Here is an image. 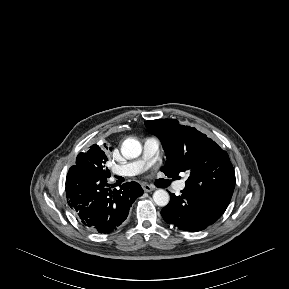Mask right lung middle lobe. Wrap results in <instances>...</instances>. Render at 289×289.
Wrapping results in <instances>:
<instances>
[{"label":"right lung middle lobe","instance_id":"obj_1","mask_svg":"<svg viewBox=\"0 0 289 289\" xmlns=\"http://www.w3.org/2000/svg\"><path fill=\"white\" fill-rule=\"evenodd\" d=\"M89 151V150H88ZM86 154L78 155L76 160V165L72 166L74 168H80L100 179H107L110 177V171L105 166L107 156L105 154L104 148L99 146Z\"/></svg>","mask_w":289,"mask_h":289}]
</instances>
